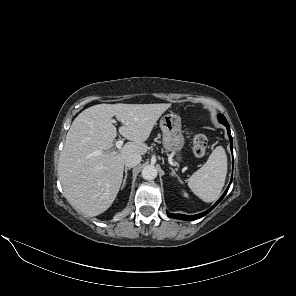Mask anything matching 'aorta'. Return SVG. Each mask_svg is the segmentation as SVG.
Returning <instances> with one entry per match:
<instances>
[{
    "label": "aorta",
    "mask_w": 296,
    "mask_h": 296,
    "mask_svg": "<svg viewBox=\"0 0 296 296\" xmlns=\"http://www.w3.org/2000/svg\"><path fill=\"white\" fill-rule=\"evenodd\" d=\"M141 175L145 180H153L157 177V169L153 165H147L143 168Z\"/></svg>",
    "instance_id": "aorta-1"
}]
</instances>
